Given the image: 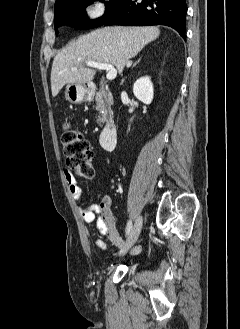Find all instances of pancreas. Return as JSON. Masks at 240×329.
<instances>
[{
	"mask_svg": "<svg viewBox=\"0 0 240 329\" xmlns=\"http://www.w3.org/2000/svg\"><path fill=\"white\" fill-rule=\"evenodd\" d=\"M111 105V97L107 96L104 91L99 92L96 96V110L99 111V116L97 119L98 124H101L106 120L107 113L111 114Z\"/></svg>",
	"mask_w": 240,
	"mask_h": 329,
	"instance_id": "pancreas-1",
	"label": "pancreas"
}]
</instances>
